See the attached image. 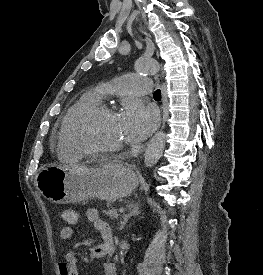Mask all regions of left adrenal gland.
<instances>
[{"label":"left adrenal gland","mask_w":263,"mask_h":275,"mask_svg":"<svg viewBox=\"0 0 263 275\" xmlns=\"http://www.w3.org/2000/svg\"><path fill=\"white\" fill-rule=\"evenodd\" d=\"M127 208H128V214H125L123 216V220L120 221V230H122L124 228V226L126 225L128 220L132 216H138L141 212L139 204L130 203V204L127 205Z\"/></svg>","instance_id":"obj_1"}]
</instances>
